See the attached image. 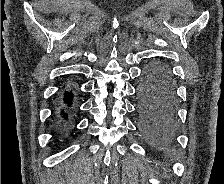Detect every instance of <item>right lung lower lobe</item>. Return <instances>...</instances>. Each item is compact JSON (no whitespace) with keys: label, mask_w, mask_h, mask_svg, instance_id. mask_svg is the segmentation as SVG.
I'll list each match as a JSON object with an SVG mask.
<instances>
[{"label":"right lung lower lobe","mask_w":224,"mask_h":184,"mask_svg":"<svg viewBox=\"0 0 224 184\" xmlns=\"http://www.w3.org/2000/svg\"><path fill=\"white\" fill-rule=\"evenodd\" d=\"M63 97V109L60 110V115L66 120L68 117L67 112H69V108L72 105L73 94L72 92H65Z\"/></svg>","instance_id":"1"}]
</instances>
